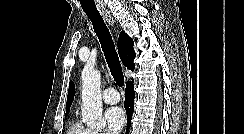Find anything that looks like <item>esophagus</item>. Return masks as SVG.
Listing matches in <instances>:
<instances>
[{
	"mask_svg": "<svg viewBox=\"0 0 244 134\" xmlns=\"http://www.w3.org/2000/svg\"><path fill=\"white\" fill-rule=\"evenodd\" d=\"M102 15H103L105 21L110 26L114 27V25H115V19L113 18V16L110 13H108V12H103Z\"/></svg>",
	"mask_w": 244,
	"mask_h": 134,
	"instance_id": "obj_1",
	"label": "esophagus"
}]
</instances>
